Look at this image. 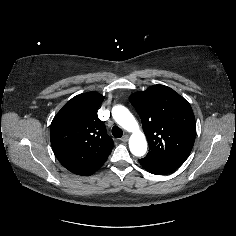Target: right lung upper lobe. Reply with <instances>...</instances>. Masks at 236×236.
I'll use <instances>...</instances> for the list:
<instances>
[{
    "instance_id": "right-lung-upper-lobe-1",
    "label": "right lung upper lobe",
    "mask_w": 236,
    "mask_h": 236,
    "mask_svg": "<svg viewBox=\"0 0 236 236\" xmlns=\"http://www.w3.org/2000/svg\"><path fill=\"white\" fill-rule=\"evenodd\" d=\"M103 99L99 93L77 95L62 107L51 123L50 140L55 156L74 174H93L113 148V140L97 115Z\"/></svg>"
}]
</instances>
